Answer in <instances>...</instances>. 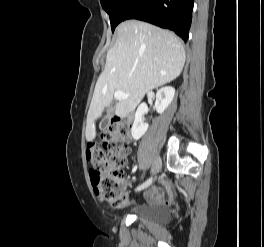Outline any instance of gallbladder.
I'll use <instances>...</instances> for the list:
<instances>
[{
  "mask_svg": "<svg viewBox=\"0 0 264 247\" xmlns=\"http://www.w3.org/2000/svg\"><path fill=\"white\" fill-rule=\"evenodd\" d=\"M113 110H114V109H111L110 111H108L106 118L100 122V123H101V124H100V126H101L100 128H101V129L106 128V126L109 124V122H110L109 118H112L111 115H112L113 113H115Z\"/></svg>",
  "mask_w": 264,
  "mask_h": 247,
  "instance_id": "obj_1",
  "label": "gallbladder"
}]
</instances>
